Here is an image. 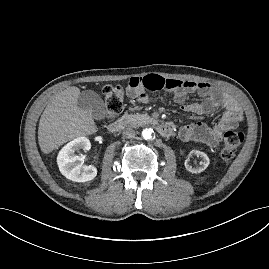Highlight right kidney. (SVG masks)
<instances>
[{"label": "right kidney", "instance_id": "right-kidney-1", "mask_svg": "<svg viewBox=\"0 0 269 269\" xmlns=\"http://www.w3.org/2000/svg\"><path fill=\"white\" fill-rule=\"evenodd\" d=\"M90 149L91 143L87 137H78L66 144L57 157L58 167L62 175L74 182L93 180L97 175V169L92 165H83L80 162L81 158L75 155L76 151Z\"/></svg>", "mask_w": 269, "mask_h": 269}]
</instances>
